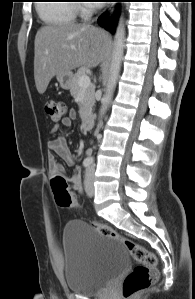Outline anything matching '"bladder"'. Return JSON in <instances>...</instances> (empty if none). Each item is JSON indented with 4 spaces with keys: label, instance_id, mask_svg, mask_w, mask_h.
<instances>
[{
    "label": "bladder",
    "instance_id": "1",
    "mask_svg": "<svg viewBox=\"0 0 195 299\" xmlns=\"http://www.w3.org/2000/svg\"><path fill=\"white\" fill-rule=\"evenodd\" d=\"M63 248L64 280L72 292L94 295L129 266L124 245L83 221L65 224Z\"/></svg>",
    "mask_w": 195,
    "mask_h": 299
}]
</instances>
